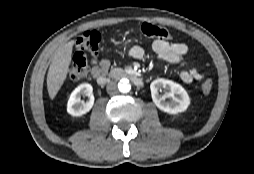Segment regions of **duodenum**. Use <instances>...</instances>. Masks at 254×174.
<instances>
[{"label":"duodenum","instance_id":"410a0bca","mask_svg":"<svg viewBox=\"0 0 254 174\" xmlns=\"http://www.w3.org/2000/svg\"><path fill=\"white\" fill-rule=\"evenodd\" d=\"M116 75H120L125 78H128L137 87H142L144 84L143 80L132 72L124 71V72L116 73ZM109 79L110 77L105 75L104 73H100L96 76V81L100 86L106 85L109 82Z\"/></svg>","mask_w":254,"mask_h":174}]
</instances>
